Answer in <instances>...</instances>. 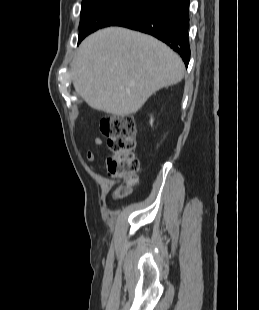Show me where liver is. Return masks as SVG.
Listing matches in <instances>:
<instances>
[{"label": "liver", "mask_w": 259, "mask_h": 310, "mask_svg": "<svg viewBox=\"0 0 259 310\" xmlns=\"http://www.w3.org/2000/svg\"><path fill=\"white\" fill-rule=\"evenodd\" d=\"M76 92L93 109L117 116L137 112L156 91L179 83L181 58L156 38L121 27L88 36L72 63Z\"/></svg>", "instance_id": "obj_1"}]
</instances>
